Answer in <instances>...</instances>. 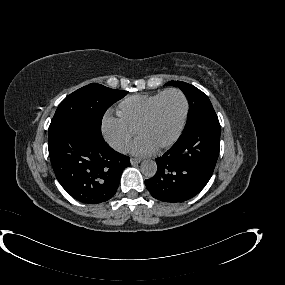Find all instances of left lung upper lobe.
<instances>
[{"mask_svg":"<svg viewBox=\"0 0 285 285\" xmlns=\"http://www.w3.org/2000/svg\"><path fill=\"white\" fill-rule=\"evenodd\" d=\"M166 85L180 87L189 99V112L184 131L200 119L216 115L209 98L198 88L181 81H170Z\"/></svg>","mask_w":285,"mask_h":285,"instance_id":"5c2ea615","label":"left lung upper lobe"}]
</instances>
